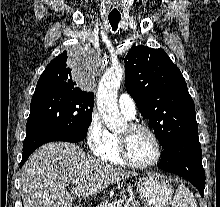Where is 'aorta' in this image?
<instances>
[{"label":"aorta","instance_id":"1","mask_svg":"<svg viewBox=\"0 0 220 207\" xmlns=\"http://www.w3.org/2000/svg\"><path fill=\"white\" fill-rule=\"evenodd\" d=\"M123 76L124 68L113 64L101 77L97 89L98 111L108 129L112 131L120 129L125 123L117 104L118 89Z\"/></svg>","mask_w":220,"mask_h":207}]
</instances>
